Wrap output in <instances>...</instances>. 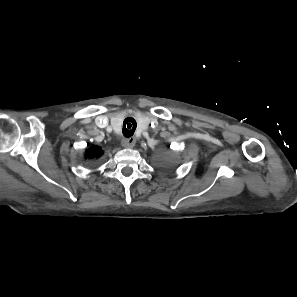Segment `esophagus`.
<instances>
[{"instance_id":"esophagus-1","label":"esophagus","mask_w":297,"mask_h":297,"mask_svg":"<svg viewBox=\"0 0 297 297\" xmlns=\"http://www.w3.org/2000/svg\"><path fill=\"white\" fill-rule=\"evenodd\" d=\"M135 143H136L135 137H130L122 140V145L127 148L134 147Z\"/></svg>"}]
</instances>
